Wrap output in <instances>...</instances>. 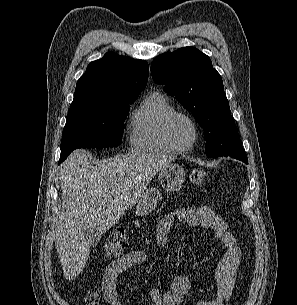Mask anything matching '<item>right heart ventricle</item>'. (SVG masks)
<instances>
[{"label":"right heart ventricle","mask_w":297,"mask_h":305,"mask_svg":"<svg viewBox=\"0 0 297 305\" xmlns=\"http://www.w3.org/2000/svg\"><path fill=\"white\" fill-rule=\"evenodd\" d=\"M174 111V105L163 93L153 92L144 98L132 116L129 135L131 149L144 153L175 152L162 133L164 119Z\"/></svg>","instance_id":"obj_1"}]
</instances>
